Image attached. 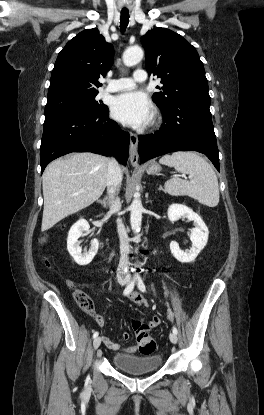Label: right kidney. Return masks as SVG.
Instances as JSON below:
<instances>
[{
  "mask_svg": "<svg viewBox=\"0 0 264 415\" xmlns=\"http://www.w3.org/2000/svg\"><path fill=\"white\" fill-rule=\"evenodd\" d=\"M89 224L85 219H79L73 226L70 228L67 238V249L69 254L72 256L74 261L81 266L88 265L95 255L98 252L99 242L97 239L91 241V246L89 251L82 252L80 247L79 238L81 237L84 231L89 230Z\"/></svg>",
  "mask_w": 264,
  "mask_h": 415,
  "instance_id": "1",
  "label": "right kidney"
}]
</instances>
